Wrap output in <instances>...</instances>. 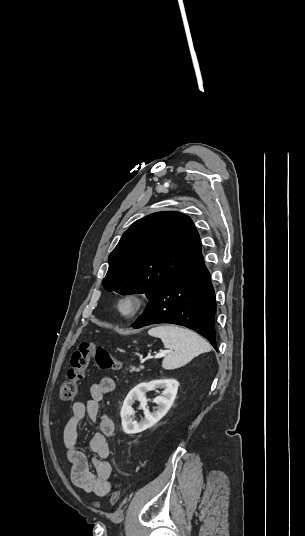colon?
Instances as JSON below:
<instances>
[{"instance_id":"1","label":"colon","mask_w":305,"mask_h":536,"mask_svg":"<svg viewBox=\"0 0 305 536\" xmlns=\"http://www.w3.org/2000/svg\"><path fill=\"white\" fill-rule=\"evenodd\" d=\"M91 359H94L102 369L120 371L124 367V363L114 359L105 346L97 345L91 341L80 342L78 348L72 352L68 380L63 382L60 387V400L62 402L69 403L74 399L78 386L85 379ZM119 496V490L112 491L111 506L117 504Z\"/></svg>"}]
</instances>
